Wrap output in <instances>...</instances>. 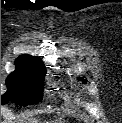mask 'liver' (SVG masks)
Segmentation results:
<instances>
[{"label": "liver", "mask_w": 122, "mask_h": 123, "mask_svg": "<svg viewBox=\"0 0 122 123\" xmlns=\"http://www.w3.org/2000/svg\"><path fill=\"white\" fill-rule=\"evenodd\" d=\"M27 121L28 122H26V123H38V120H36L34 118H29Z\"/></svg>", "instance_id": "6515ba94"}]
</instances>
